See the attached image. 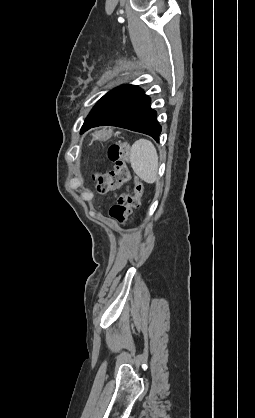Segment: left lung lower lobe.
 Returning a JSON list of instances; mask_svg holds the SVG:
<instances>
[{"label":"left lung lower lobe","instance_id":"1","mask_svg":"<svg viewBox=\"0 0 255 418\" xmlns=\"http://www.w3.org/2000/svg\"><path fill=\"white\" fill-rule=\"evenodd\" d=\"M103 125L141 132L156 141L161 133L156 111L150 107V98L141 88L129 84L109 91L97 102L85 119L81 133Z\"/></svg>","mask_w":255,"mask_h":418}]
</instances>
